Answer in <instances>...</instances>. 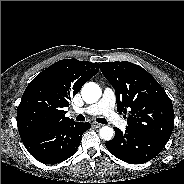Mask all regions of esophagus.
<instances>
[{
    "label": "esophagus",
    "instance_id": "34e87169",
    "mask_svg": "<svg viewBox=\"0 0 184 184\" xmlns=\"http://www.w3.org/2000/svg\"><path fill=\"white\" fill-rule=\"evenodd\" d=\"M93 126L96 127V128H100V127H102V124L93 123Z\"/></svg>",
    "mask_w": 184,
    "mask_h": 184
}]
</instances>
